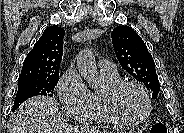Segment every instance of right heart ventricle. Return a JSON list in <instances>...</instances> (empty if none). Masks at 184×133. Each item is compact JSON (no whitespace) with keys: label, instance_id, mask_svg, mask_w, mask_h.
I'll list each match as a JSON object with an SVG mask.
<instances>
[{"label":"right heart ventricle","instance_id":"1","mask_svg":"<svg viewBox=\"0 0 184 133\" xmlns=\"http://www.w3.org/2000/svg\"><path fill=\"white\" fill-rule=\"evenodd\" d=\"M101 75L102 78L104 80L105 86H109L112 84H115L117 82H119L120 76L119 74H110V73H106L101 71ZM102 90H98L95 91L94 93H92V97H93V111H92V115L89 119V121H93L99 124H110L113 123V121L110 119V117L107 115V113L105 112V109L103 107V103H102Z\"/></svg>","mask_w":184,"mask_h":133}]
</instances>
